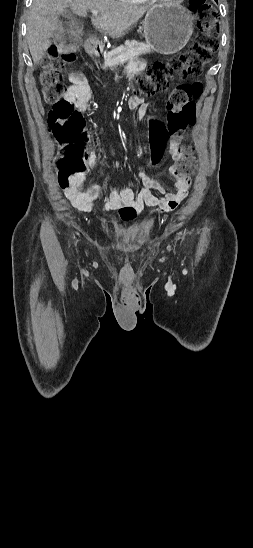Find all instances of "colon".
I'll return each mask as SVG.
<instances>
[{
  "mask_svg": "<svg viewBox=\"0 0 253 548\" xmlns=\"http://www.w3.org/2000/svg\"><path fill=\"white\" fill-rule=\"evenodd\" d=\"M197 11L200 33L196 42L187 50L166 63L156 61L147 71L137 76L135 93L137 96H153L166 93L174 77L188 79L199 76L204 66L211 60L217 48L219 22L213 7L206 0H189ZM74 42L61 48L52 47L48 56L41 61L40 83L44 100L52 104L48 115L51 131L60 144L56 165L60 185H69L71 179L86 172L84 163L85 145L88 136L81 112L64 98L67 84L64 69L75 60ZM202 93V84L194 82L181 84L171 93L167 106L166 126L151 129L157 137H180L193 125L196 118L194 100ZM153 152L150 164L160 163L162 154L156 139L152 141ZM197 170V160L190 147H181L179 157L171 166L175 174L189 176Z\"/></svg>",
  "mask_w": 253,
  "mask_h": 548,
  "instance_id": "1",
  "label": "colon"
}]
</instances>
